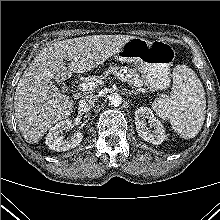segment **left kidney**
I'll return each mask as SVG.
<instances>
[{
	"mask_svg": "<svg viewBox=\"0 0 220 220\" xmlns=\"http://www.w3.org/2000/svg\"><path fill=\"white\" fill-rule=\"evenodd\" d=\"M147 120L150 127L147 125ZM135 125L138 135L145 141L158 145L165 140L163 125L154 117L150 108L140 107L135 111Z\"/></svg>",
	"mask_w": 220,
	"mask_h": 220,
	"instance_id": "obj_1",
	"label": "left kidney"
}]
</instances>
